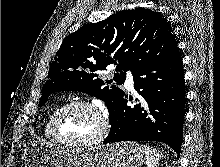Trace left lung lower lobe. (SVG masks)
Instances as JSON below:
<instances>
[{
	"label": "left lung lower lobe",
	"mask_w": 220,
	"mask_h": 167,
	"mask_svg": "<svg viewBox=\"0 0 220 167\" xmlns=\"http://www.w3.org/2000/svg\"><path fill=\"white\" fill-rule=\"evenodd\" d=\"M136 104L123 95L109 114L111 129L104 144L118 141H160L179 155L185 115V85L178 48L134 74Z\"/></svg>",
	"instance_id": "0a47b994"
}]
</instances>
